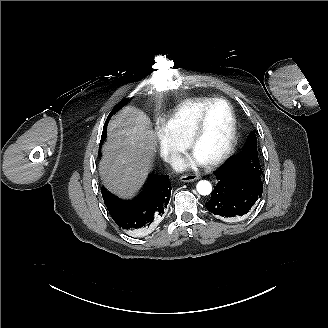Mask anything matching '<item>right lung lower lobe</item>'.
<instances>
[{
	"instance_id": "obj_1",
	"label": "right lung lower lobe",
	"mask_w": 328,
	"mask_h": 328,
	"mask_svg": "<svg viewBox=\"0 0 328 328\" xmlns=\"http://www.w3.org/2000/svg\"><path fill=\"white\" fill-rule=\"evenodd\" d=\"M172 187L168 175L151 174L143 192L131 201H124L101 188L104 203L119 228L134 231L148 228L161 217L170 200Z\"/></svg>"
}]
</instances>
